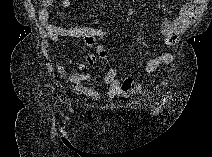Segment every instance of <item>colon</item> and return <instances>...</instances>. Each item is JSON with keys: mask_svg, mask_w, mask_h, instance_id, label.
<instances>
[{"mask_svg": "<svg viewBox=\"0 0 212 157\" xmlns=\"http://www.w3.org/2000/svg\"><path fill=\"white\" fill-rule=\"evenodd\" d=\"M88 40H91L90 37H88ZM106 58V51L101 46H96L94 52L91 54L89 60L92 63L95 62H103Z\"/></svg>", "mask_w": 212, "mask_h": 157, "instance_id": "1", "label": "colon"}]
</instances>
